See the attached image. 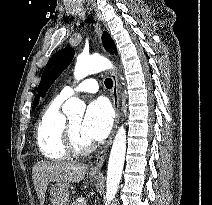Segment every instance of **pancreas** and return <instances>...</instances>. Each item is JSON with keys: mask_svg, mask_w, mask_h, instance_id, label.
Returning <instances> with one entry per match:
<instances>
[{"mask_svg": "<svg viewBox=\"0 0 212 205\" xmlns=\"http://www.w3.org/2000/svg\"><path fill=\"white\" fill-rule=\"evenodd\" d=\"M72 205H86V200L84 197H80L77 200H75Z\"/></svg>", "mask_w": 212, "mask_h": 205, "instance_id": "obj_1", "label": "pancreas"}]
</instances>
